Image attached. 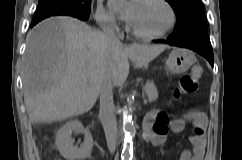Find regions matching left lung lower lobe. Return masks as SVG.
Wrapping results in <instances>:
<instances>
[{
  "label": "left lung lower lobe",
  "instance_id": "left-lung-lower-lobe-1",
  "mask_svg": "<svg viewBox=\"0 0 242 160\" xmlns=\"http://www.w3.org/2000/svg\"><path fill=\"white\" fill-rule=\"evenodd\" d=\"M154 42L167 43L172 46H178L194 50L195 52L205 57L213 67V51L207 33L192 34L179 39H174L171 36H169L166 41L156 40Z\"/></svg>",
  "mask_w": 242,
  "mask_h": 160
}]
</instances>
